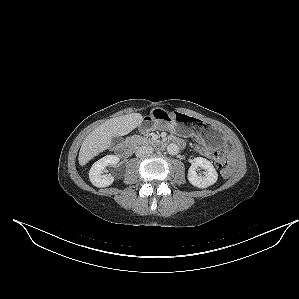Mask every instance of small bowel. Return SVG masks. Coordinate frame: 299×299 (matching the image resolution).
<instances>
[{
	"label": "small bowel",
	"mask_w": 299,
	"mask_h": 299,
	"mask_svg": "<svg viewBox=\"0 0 299 299\" xmlns=\"http://www.w3.org/2000/svg\"><path fill=\"white\" fill-rule=\"evenodd\" d=\"M175 141H178L180 143V146L184 144L183 140L180 138H175Z\"/></svg>",
	"instance_id": "1"
}]
</instances>
